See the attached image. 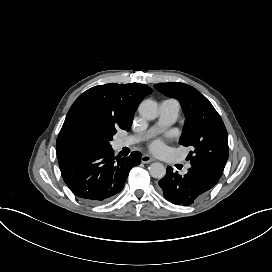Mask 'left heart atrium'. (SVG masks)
<instances>
[{"label": "left heart atrium", "instance_id": "obj_1", "mask_svg": "<svg viewBox=\"0 0 272 272\" xmlns=\"http://www.w3.org/2000/svg\"><path fill=\"white\" fill-rule=\"evenodd\" d=\"M163 148V146H162V144H160V143H157L156 145H155V149L156 150H159V149H162Z\"/></svg>", "mask_w": 272, "mask_h": 272}]
</instances>
